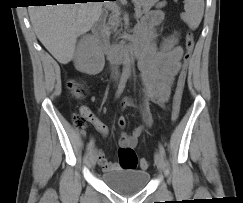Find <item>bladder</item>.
<instances>
[{
    "instance_id": "bladder-1",
    "label": "bladder",
    "mask_w": 243,
    "mask_h": 203,
    "mask_svg": "<svg viewBox=\"0 0 243 203\" xmlns=\"http://www.w3.org/2000/svg\"><path fill=\"white\" fill-rule=\"evenodd\" d=\"M103 182L121 195H134L141 192L150 180L146 170L117 169L102 174Z\"/></svg>"
}]
</instances>
